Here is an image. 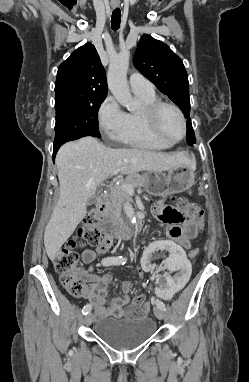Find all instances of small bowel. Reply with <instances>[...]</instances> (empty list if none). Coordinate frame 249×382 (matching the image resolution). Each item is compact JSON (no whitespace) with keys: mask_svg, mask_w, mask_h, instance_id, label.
<instances>
[{"mask_svg":"<svg viewBox=\"0 0 249 382\" xmlns=\"http://www.w3.org/2000/svg\"><path fill=\"white\" fill-rule=\"evenodd\" d=\"M169 212V216L166 212ZM152 213L159 221L169 225L167 236L169 240L178 241L182 245V250L190 247V242L199 232L200 223L190 216L183 215L179 210L168 207L162 201L156 202L152 206ZM113 238L105 237L102 243L94 249H86L82 253V261L90 265L88 270L76 269V273L86 283L84 297L94 306V314L97 318L117 317V318H142L149 311L141 306H128L130 302L129 291L131 283H122L123 295L111 300L110 307L105 308L107 288L112 282V275L107 273L97 275L93 272V264L98 255H101L112 246ZM166 262V261H165ZM151 282H145L144 286H149Z\"/></svg>","mask_w":249,"mask_h":382,"instance_id":"c3829d8e","label":"small bowel"}]
</instances>
